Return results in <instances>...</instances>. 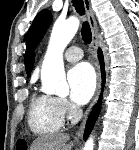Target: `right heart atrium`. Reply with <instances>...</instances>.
Here are the masks:
<instances>
[{
  "instance_id": "d8ad5b80",
  "label": "right heart atrium",
  "mask_w": 139,
  "mask_h": 150,
  "mask_svg": "<svg viewBox=\"0 0 139 150\" xmlns=\"http://www.w3.org/2000/svg\"><path fill=\"white\" fill-rule=\"evenodd\" d=\"M58 105L64 115L72 116L75 113V108L63 98H58Z\"/></svg>"
}]
</instances>
